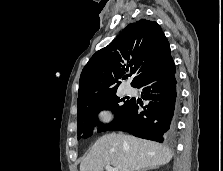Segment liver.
<instances>
[{
	"label": "liver",
	"mask_w": 223,
	"mask_h": 171,
	"mask_svg": "<svg viewBox=\"0 0 223 171\" xmlns=\"http://www.w3.org/2000/svg\"><path fill=\"white\" fill-rule=\"evenodd\" d=\"M171 150L162 144L124 134H106L92 146L80 164V171H104L106 165L118 171H140L167 164Z\"/></svg>",
	"instance_id": "1"
}]
</instances>
